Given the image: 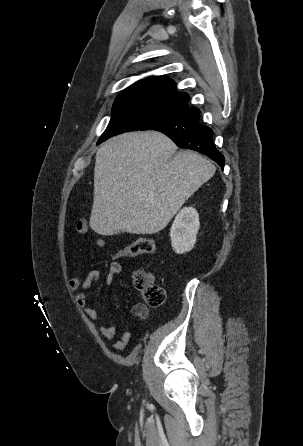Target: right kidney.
Returning a JSON list of instances; mask_svg holds the SVG:
<instances>
[{"label": "right kidney", "mask_w": 303, "mask_h": 446, "mask_svg": "<svg viewBox=\"0 0 303 446\" xmlns=\"http://www.w3.org/2000/svg\"><path fill=\"white\" fill-rule=\"evenodd\" d=\"M199 227V215L195 208L181 209L170 230L171 244L177 254H183L193 249Z\"/></svg>", "instance_id": "ca27d5eb"}]
</instances>
